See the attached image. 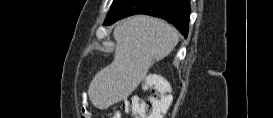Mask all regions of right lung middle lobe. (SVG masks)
Here are the masks:
<instances>
[{
    "mask_svg": "<svg viewBox=\"0 0 273 118\" xmlns=\"http://www.w3.org/2000/svg\"><path fill=\"white\" fill-rule=\"evenodd\" d=\"M122 1H123V0H114L113 3H112V5H111V9H110L108 15H109V14H110V13H111L119 4H121Z\"/></svg>",
    "mask_w": 273,
    "mask_h": 118,
    "instance_id": "right-lung-middle-lobe-1",
    "label": "right lung middle lobe"
}]
</instances>
